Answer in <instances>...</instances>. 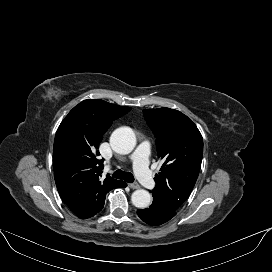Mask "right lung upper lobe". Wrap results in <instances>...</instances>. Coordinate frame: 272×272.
Returning a JSON list of instances; mask_svg holds the SVG:
<instances>
[{"label":"right lung upper lobe","instance_id":"1","mask_svg":"<svg viewBox=\"0 0 272 272\" xmlns=\"http://www.w3.org/2000/svg\"><path fill=\"white\" fill-rule=\"evenodd\" d=\"M131 108L103 100H84L61 122L53 146L54 177L65 204L81 219L98 213L106 194L118 181L101 178L102 160L97 150L103 134Z\"/></svg>","mask_w":272,"mask_h":272}]
</instances>
